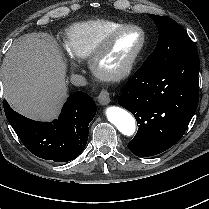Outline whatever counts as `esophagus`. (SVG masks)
<instances>
[{"instance_id":"obj_1","label":"esophagus","mask_w":209,"mask_h":209,"mask_svg":"<svg viewBox=\"0 0 209 209\" xmlns=\"http://www.w3.org/2000/svg\"><path fill=\"white\" fill-rule=\"evenodd\" d=\"M98 101L101 105H107L110 101V93L107 90H102L98 95Z\"/></svg>"}]
</instances>
